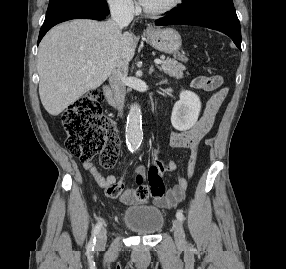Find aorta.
<instances>
[{
	"label": "aorta",
	"instance_id": "obj_1",
	"mask_svg": "<svg viewBox=\"0 0 286 269\" xmlns=\"http://www.w3.org/2000/svg\"><path fill=\"white\" fill-rule=\"evenodd\" d=\"M143 140L142 114L140 106L134 103L129 110L126 127V143L131 152H135Z\"/></svg>",
	"mask_w": 286,
	"mask_h": 269
}]
</instances>
